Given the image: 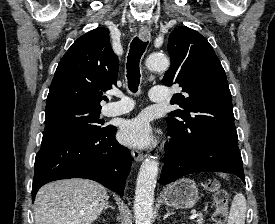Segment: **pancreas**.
Here are the masks:
<instances>
[{
    "label": "pancreas",
    "mask_w": 275,
    "mask_h": 224,
    "mask_svg": "<svg viewBox=\"0 0 275 224\" xmlns=\"http://www.w3.org/2000/svg\"><path fill=\"white\" fill-rule=\"evenodd\" d=\"M195 222H196V224H204V222H205L204 217L202 215L199 216Z\"/></svg>",
    "instance_id": "pancreas-1"
}]
</instances>
